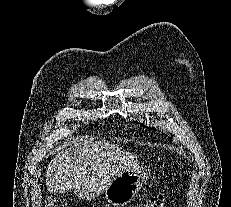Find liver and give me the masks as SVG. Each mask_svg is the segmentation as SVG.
Wrapping results in <instances>:
<instances>
[{
  "mask_svg": "<svg viewBox=\"0 0 231 207\" xmlns=\"http://www.w3.org/2000/svg\"><path fill=\"white\" fill-rule=\"evenodd\" d=\"M57 153L46 170V187L51 193H74L84 200L101 194L113 178L137 169L138 160L118 146L101 141L75 139Z\"/></svg>",
  "mask_w": 231,
  "mask_h": 207,
  "instance_id": "obj_1",
  "label": "liver"
}]
</instances>
